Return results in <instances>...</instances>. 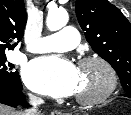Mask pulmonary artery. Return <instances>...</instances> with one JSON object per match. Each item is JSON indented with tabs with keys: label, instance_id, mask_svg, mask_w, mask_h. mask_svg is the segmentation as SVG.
Segmentation results:
<instances>
[{
	"label": "pulmonary artery",
	"instance_id": "pulmonary-artery-1",
	"mask_svg": "<svg viewBox=\"0 0 131 115\" xmlns=\"http://www.w3.org/2000/svg\"><path fill=\"white\" fill-rule=\"evenodd\" d=\"M78 43V31L73 27H65L38 39L28 47V50L34 53L63 52L73 49Z\"/></svg>",
	"mask_w": 131,
	"mask_h": 115
}]
</instances>
